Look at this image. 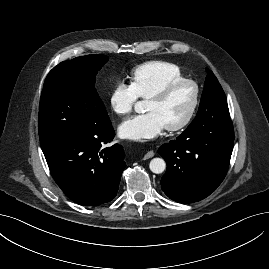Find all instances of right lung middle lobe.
<instances>
[{"label": "right lung middle lobe", "instance_id": "right-lung-middle-lobe-1", "mask_svg": "<svg viewBox=\"0 0 269 269\" xmlns=\"http://www.w3.org/2000/svg\"><path fill=\"white\" fill-rule=\"evenodd\" d=\"M106 55H87L64 61L48 74L39 107L41 147L73 139L111 124L94 85Z\"/></svg>", "mask_w": 269, "mask_h": 269}]
</instances>
